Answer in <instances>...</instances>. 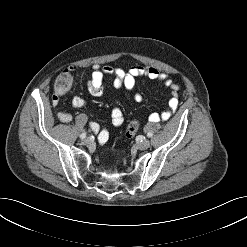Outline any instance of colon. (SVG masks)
Here are the masks:
<instances>
[{
  "label": "colon",
  "instance_id": "5ec220e1",
  "mask_svg": "<svg viewBox=\"0 0 247 247\" xmlns=\"http://www.w3.org/2000/svg\"><path fill=\"white\" fill-rule=\"evenodd\" d=\"M71 84V78L67 73H62L55 82V90L57 94H64L69 89ZM140 127L138 120L131 121L126 128V134L128 137H133Z\"/></svg>",
  "mask_w": 247,
  "mask_h": 247
}]
</instances>
